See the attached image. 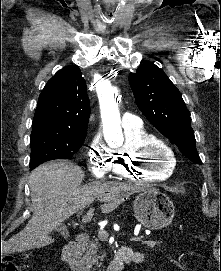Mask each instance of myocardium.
Wrapping results in <instances>:
<instances>
[{
	"label": "myocardium",
	"mask_w": 221,
	"mask_h": 271,
	"mask_svg": "<svg viewBox=\"0 0 221 271\" xmlns=\"http://www.w3.org/2000/svg\"><path fill=\"white\" fill-rule=\"evenodd\" d=\"M155 140L164 139L155 138ZM142 148L145 150L147 147L144 145ZM149 148L151 150H148L147 153H139L138 156L132 157V161L139 164V167H135L133 170L145 175L146 172H155L156 174H159L165 169H170V160L174 156H167L173 151L169 150V145H162L160 142H157L155 145L153 144V146L151 145Z\"/></svg>",
	"instance_id": "1"
}]
</instances>
